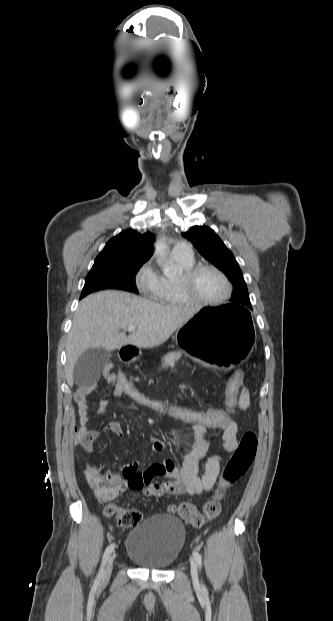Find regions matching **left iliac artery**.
<instances>
[{
  "label": "left iliac artery",
  "mask_w": 333,
  "mask_h": 621,
  "mask_svg": "<svg viewBox=\"0 0 333 621\" xmlns=\"http://www.w3.org/2000/svg\"><path fill=\"white\" fill-rule=\"evenodd\" d=\"M193 557H194V559L196 560V562H197L198 566L201 568V566H202V558H201V555H200V554H199L196 550H194V551H193ZM202 587H203V589H204V590L206 589V588H205V586H202Z\"/></svg>",
  "instance_id": "1"
}]
</instances>
